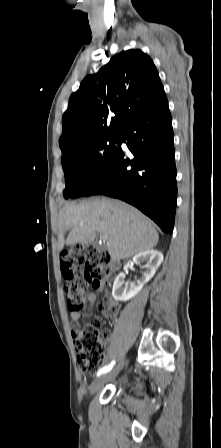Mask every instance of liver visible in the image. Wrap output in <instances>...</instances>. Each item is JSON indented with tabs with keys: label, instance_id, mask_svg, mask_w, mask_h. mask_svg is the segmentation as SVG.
Instances as JSON below:
<instances>
[{
	"label": "liver",
	"instance_id": "1",
	"mask_svg": "<svg viewBox=\"0 0 221 448\" xmlns=\"http://www.w3.org/2000/svg\"><path fill=\"white\" fill-rule=\"evenodd\" d=\"M59 250L65 245L88 244L97 233L112 260H122L154 248L159 235L152 222L136 208L119 200L93 199L66 205L59 213ZM71 227L66 239L64 232Z\"/></svg>",
	"mask_w": 221,
	"mask_h": 448
}]
</instances>
